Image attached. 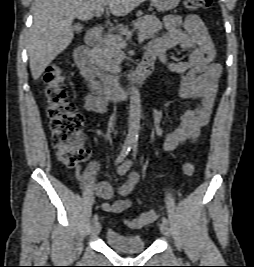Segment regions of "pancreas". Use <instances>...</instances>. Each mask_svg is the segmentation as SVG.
<instances>
[{
  "label": "pancreas",
  "mask_w": 254,
  "mask_h": 267,
  "mask_svg": "<svg viewBox=\"0 0 254 267\" xmlns=\"http://www.w3.org/2000/svg\"><path fill=\"white\" fill-rule=\"evenodd\" d=\"M134 29H138L140 35H144L145 39L153 38L156 33L162 29V23L154 15H146L140 17L133 22ZM116 35L108 33L102 43L93 50V60L96 65L103 71L117 73L123 53L122 48L125 41L120 35H126L128 28L123 27L116 31Z\"/></svg>",
  "instance_id": "1"
}]
</instances>
